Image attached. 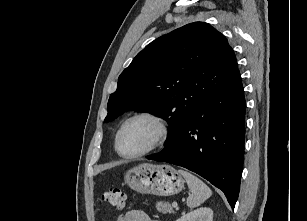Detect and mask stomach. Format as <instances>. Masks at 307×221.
<instances>
[{
  "label": "stomach",
  "mask_w": 307,
  "mask_h": 221,
  "mask_svg": "<svg viewBox=\"0 0 307 221\" xmlns=\"http://www.w3.org/2000/svg\"><path fill=\"white\" fill-rule=\"evenodd\" d=\"M128 186L143 194L170 196L184 188L182 175L172 166L143 163L125 174Z\"/></svg>",
  "instance_id": "0dacf381"
}]
</instances>
